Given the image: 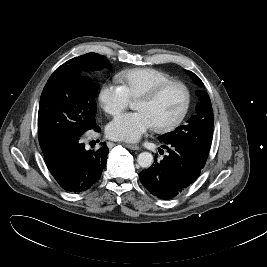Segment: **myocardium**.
Masks as SVG:
<instances>
[{
  "instance_id": "1",
  "label": "myocardium",
  "mask_w": 267,
  "mask_h": 267,
  "mask_svg": "<svg viewBox=\"0 0 267 267\" xmlns=\"http://www.w3.org/2000/svg\"><path fill=\"white\" fill-rule=\"evenodd\" d=\"M173 86H179L183 89L184 94H185V103L180 111V113L177 115L175 119H173L171 122L160 125V126H155L152 127L153 131L156 133H166L169 131H172L176 129L186 118L188 111L190 109V104H191V93L188 88V86L179 80H171L165 83H162L158 85L157 87L153 88L152 90L148 91L147 93L142 94L139 96L135 101H143V102H151L157 99L165 90H167L170 87Z\"/></svg>"
}]
</instances>
